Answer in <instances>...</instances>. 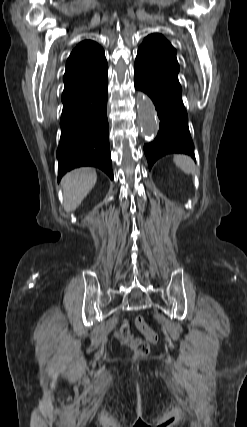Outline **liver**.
<instances>
[{
	"mask_svg": "<svg viewBox=\"0 0 247 427\" xmlns=\"http://www.w3.org/2000/svg\"><path fill=\"white\" fill-rule=\"evenodd\" d=\"M97 181L93 168H78L67 173L62 181L64 210L72 212L81 204Z\"/></svg>",
	"mask_w": 247,
	"mask_h": 427,
	"instance_id": "1",
	"label": "liver"
}]
</instances>
